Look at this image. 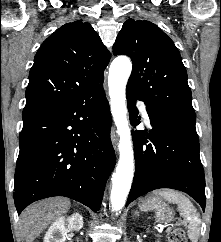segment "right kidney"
<instances>
[{"label": "right kidney", "mask_w": 221, "mask_h": 242, "mask_svg": "<svg viewBox=\"0 0 221 242\" xmlns=\"http://www.w3.org/2000/svg\"><path fill=\"white\" fill-rule=\"evenodd\" d=\"M83 227V217L79 213H73L68 217L57 218L44 236V242H65L67 233L79 231Z\"/></svg>", "instance_id": "ca27d5eb"}]
</instances>
